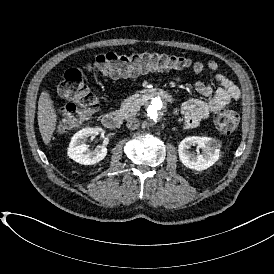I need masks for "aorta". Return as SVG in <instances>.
I'll list each match as a JSON object with an SVG mask.
<instances>
[{
	"label": "aorta",
	"mask_w": 274,
	"mask_h": 274,
	"mask_svg": "<svg viewBox=\"0 0 274 274\" xmlns=\"http://www.w3.org/2000/svg\"><path fill=\"white\" fill-rule=\"evenodd\" d=\"M168 117V108L161 98H153L147 108V119L152 124L163 123Z\"/></svg>",
	"instance_id": "aorta-1"
}]
</instances>
